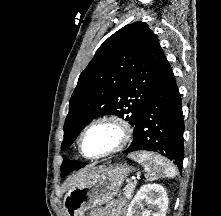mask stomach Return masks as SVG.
Segmentation results:
<instances>
[{"mask_svg":"<svg viewBox=\"0 0 221 216\" xmlns=\"http://www.w3.org/2000/svg\"><path fill=\"white\" fill-rule=\"evenodd\" d=\"M131 172L132 167L128 165L94 168L65 195L63 208L66 216H84L85 211L111 201Z\"/></svg>","mask_w":221,"mask_h":216,"instance_id":"1","label":"stomach"}]
</instances>
